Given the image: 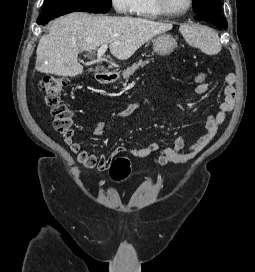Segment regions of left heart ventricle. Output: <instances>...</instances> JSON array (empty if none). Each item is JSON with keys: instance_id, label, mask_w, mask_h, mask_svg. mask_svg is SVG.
I'll use <instances>...</instances> for the list:
<instances>
[{"instance_id": "obj_1", "label": "left heart ventricle", "mask_w": 255, "mask_h": 272, "mask_svg": "<svg viewBox=\"0 0 255 272\" xmlns=\"http://www.w3.org/2000/svg\"><path fill=\"white\" fill-rule=\"evenodd\" d=\"M171 11H181L186 8L188 0H165Z\"/></svg>"}]
</instances>
